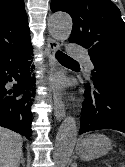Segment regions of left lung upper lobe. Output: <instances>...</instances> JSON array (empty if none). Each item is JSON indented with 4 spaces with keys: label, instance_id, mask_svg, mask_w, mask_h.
I'll list each match as a JSON object with an SVG mask.
<instances>
[{
    "label": "left lung upper lobe",
    "instance_id": "left-lung-upper-lobe-1",
    "mask_svg": "<svg viewBox=\"0 0 125 167\" xmlns=\"http://www.w3.org/2000/svg\"><path fill=\"white\" fill-rule=\"evenodd\" d=\"M51 10L73 20L69 41L88 49L97 75L125 76V23L111 0H52Z\"/></svg>",
    "mask_w": 125,
    "mask_h": 167
}]
</instances>
